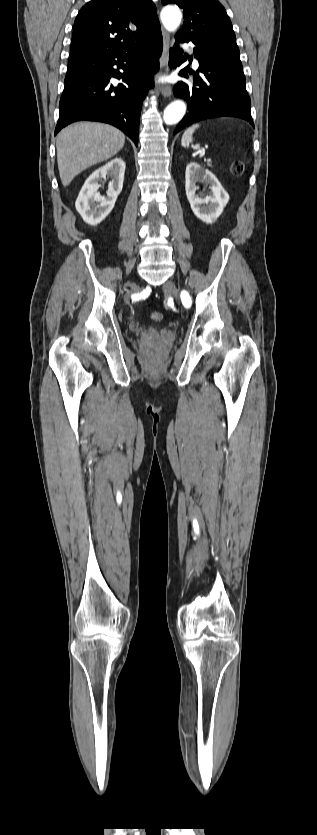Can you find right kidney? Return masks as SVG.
<instances>
[{
  "instance_id": "obj_1",
  "label": "right kidney",
  "mask_w": 317,
  "mask_h": 835,
  "mask_svg": "<svg viewBox=\"0 0 317 835\" xmlns=\"http://www.w3.org/2000/svg\"><path fill=\"white\" fill-rule=\"evenodd\" d=\"M126 164L121 158H115L95 170L85 181L75 202L76 210L89 225L102 222L112 211L118 195L123 188ZM111 176L107 196L98 192L99 181Z\"/></svg>"
}]
</instances>
